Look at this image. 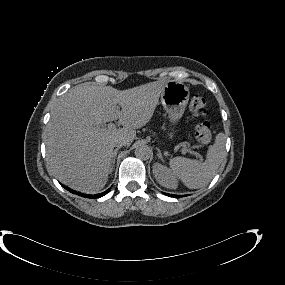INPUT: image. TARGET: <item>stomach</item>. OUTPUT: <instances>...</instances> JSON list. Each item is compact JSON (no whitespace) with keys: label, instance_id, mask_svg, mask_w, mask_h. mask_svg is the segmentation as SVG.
I'll list each match as a JSON object with an SVG mask.
<instances>
[{"label":"stomach","instance_id":"1","mask_svg":"<svg viewBox=\"0 0 285 285\" xmlns=\"http://www.w3.org/2000/svg\"><path fill=\"white\" fill-rule=\"evenodd\" d=\"M189 95L188 87L184 83L175 80L168 81L161 92L162 105L173 124H176L183 116L188 104ZM174 135L175 131L171 129L168 137L173 139Z\"/></svg>","mask_w":285,"mask_h":285}]
</instances>
